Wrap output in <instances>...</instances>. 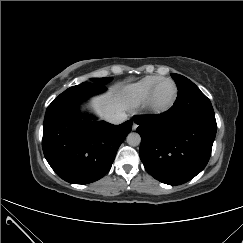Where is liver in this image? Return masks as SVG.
I'll use <instances>...</instances> for the list:
<instances>
[{"instance_id": "liver-1", "label": "liver", "mask_w": 243, "mask_h": 243, "mask_svg": "<svg viewBox=\"0 0 243 243\" xmlns=\"http://www.w3.org/2000/svg\"><path fill=\"white\" fill-rule=\"evenodd\" d=\"M86 107H90L104 119L109 114L124 110V96L120 86H113L108 93L92 97Z\"/></svg>"}]
</instances>
